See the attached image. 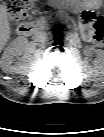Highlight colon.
<instances>
[{
	"label": "colon",
	"instance_id": "obj_1",
	"mask_svg": "<svg viewBox=\"0 0 104 137\" xmlns=\"http://www.w3.org/2000/svg\"><path fill=\"white\" fill-rule=\"evenodd\" d=\"M3 5L14 21L25 19L32 6L33 0H2ZM81 22L90 39L95 45H101L104 40V19L94 10H85L82 13Z\"/></svg>",
	"mask_w": 104,
	"mask_h": 137
}]
</instances>
